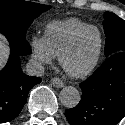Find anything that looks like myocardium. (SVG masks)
I'll list each match as a JSON object with an SVG mask.
<instances>
[{"mask_svg":"<svg viewBox=\"0 0 125 125\" xmlns=\"http://www.w3.org/2000/svg\"><path fill=\"white\" fill-rule=\"evenodd\" d=\"M95 30L98 35H99V48L97 50V53L95 55V57L93 58V60L91 61V63L86 67L84 68L83 70L81 71H77V72H74V71H70L66 68L65 66V57L66 55L70 52V50L73 48V46L75 45L76 41L78 40L79 36L87 31V30ZM103 45H104V39H103V34H102V31L94 26V25H89V26H86L80 30H78L77 32H75L71 38L68 40V42L64 45V47L62 48L59 56H58V61H59V64L61 66V68L72 78H84L86 76H88L96 67L100 57H101V54H102V50H103Z\"/></svg>","mask_w":125,"mask_h":125,"instance_id":"obj_1","label":"myocardium"}]
</instances>
